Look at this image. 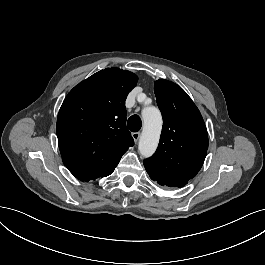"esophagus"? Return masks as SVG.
Returning <instances> with one entry per match:
<instances>
[{"label":"esophagus","mask_w":265,"mask_h":265,"mask_svg":"<svg viewBox=\"0 0 265 265\" xmlns=\"http://www.w3.org/2000/svg\"><path fill=\"white\" fill-rule=\"evenodd\" d=\"M132 137L135 142H137L140 138V132L132 133Z\"/></svg>","instance_id":"esophagus-1"}]
</instances>
